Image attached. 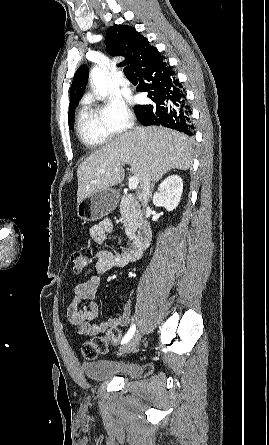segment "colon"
<instances>
[{
    "instance_id": "obj_1",
    "label": "colon",
    "mask_w": 269,
    "mask_h": 445,
    "mask_svg": "<svg viewBox=\"0 0 269 445\" xmlns=\"http://www.w3.org/2000/svg\"><path fill=\"white\" fill-rule=\"evenodd\" d=\"M73 271L76 274L83 273L90 264L88 256L81 250H76L71 254ZM121 334L118 330H111L105 336H97L86 341L82 346V353L86 359L93 360L108 350V343L118 344Z\"/></svg>"
}]
</instances>
